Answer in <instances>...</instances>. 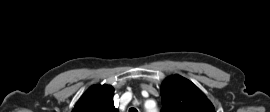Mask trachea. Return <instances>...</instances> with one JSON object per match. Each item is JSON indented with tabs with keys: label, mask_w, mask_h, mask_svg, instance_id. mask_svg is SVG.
<instances>
[{
	"label": "trachea",
	"mask_w": 270,
	"mask_h": 112,
	"mask_svg": "<svg viewBox=\"0 0 270 112\" xmlns=\"http://www.w3.org/2000/svg\"><path fill=\"white\" fill-rule=\"evenodd\" d=\"M129 112H138V110L136 108L132 107V108L129 109Z\"/></svg>",
	"instance_id": "1"
}]
</instances>
